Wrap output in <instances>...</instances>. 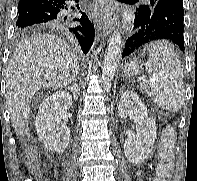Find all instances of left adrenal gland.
I'll return each mask as SVG.
<instances>
[{"label": "left adrenal gland", "mask_w": 197, "mask_h": 181, "mask_svg": "<svg viewBox=\"0 0 197 181\" xmlns=\"http://www.w3.org/2000/svg\"><path fill=\"white\" fill-rule=\"evenodd\" d=\"M123 89H124V86H122L121 88H120V94L122 93V91H123Z\"/></svg>", "instance_id": "obj_1"}]
</instances>
